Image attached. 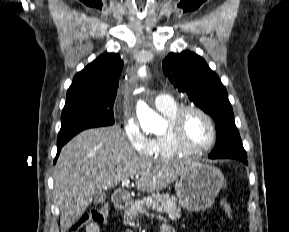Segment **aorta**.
I'll list each match as a JSON object with an SVG mask.
<instances>
[{
    "label": "aorta",
    "instance_id": "762f6f07",
    "mask_svg": "<svg viewBox=\"0 0 289 232\" xmlns=\"http://www.w3.org/2000/svg\"><path fill=\"white\" fill-rule=\"evenodd\" d=\"M137 113L144 131L157 133L165 128V121L150 109L146 103L140 102L138 104Z\"/></svg>",
    "mask_w": 289,
    "mask_h": 232
}]
</instances>
